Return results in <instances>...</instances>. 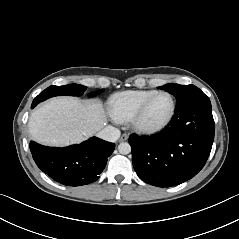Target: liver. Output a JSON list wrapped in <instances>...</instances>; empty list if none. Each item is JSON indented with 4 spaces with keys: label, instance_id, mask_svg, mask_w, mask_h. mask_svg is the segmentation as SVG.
I'll use <instances>...</instances> for the list:
<instances>
[{
    "label": "liver",
    "instance_id": "liver-1",
    "mask_svg": "<svg viewBox=\"0 0 239 239\" xmlns=\"http://www.w3.org/2000/svg\"><path fill=\"white\" fill-rule=\"evenodd\" d=\"M106 122L107 115L100 100L57 97L36 108L28 125L35 141L62 146L97 134Z\"/></svg>",
    "mask_w": 239,
    "mask_h": 239
}]
</instances>
